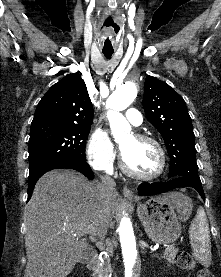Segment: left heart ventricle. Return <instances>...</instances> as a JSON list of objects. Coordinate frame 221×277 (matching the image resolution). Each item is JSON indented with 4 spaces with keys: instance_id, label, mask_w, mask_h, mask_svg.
Returning a JSON list of instances; mask_svg holds the SVG:
<instances>
[{
    "instance_id": "1",
    "label": "left heart ventricle",
    "mask_w": 221,
    "mask_h": 277,
    "mask_svg": "<svg viewBox=\"0 0 221 277\" xmlns=\"http://www.w3.org/2000/svg\"><path fill=\"white\" fill-rule=\"evenodd\" d=\"M121 151L128 167L139 174L155 173L160 164V156L156 147L148 142H139L129 137L121 142Z\"/></svg>"
}]
</instances>
